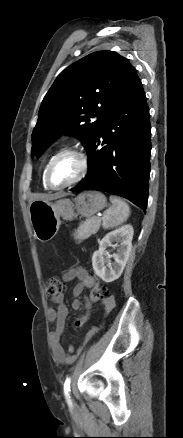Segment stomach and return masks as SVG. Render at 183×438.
Returning a JSON list of instances; mask_svg holds the SVG:
<instances>
[{
    "label": "stomach",
    "mask_w": 183,
    "mask_h": 438,
    "mask_svg": "<svg viewBox=\"0 0 183 438\" xmlns=\"http://www.w3.org/2000/svg\"><path fill=\"white\" fill-rule=\"evenodd\" d=\"M75 205L69 199L56 202L34 200L29 205V218L34 237L46 243L58 232L62 217L72 220L77 214L91 217L106 206V198L99 192H84L74 199Z\"/></svg>",
    "instance_id": "stomach-1"
}]
</instances>
